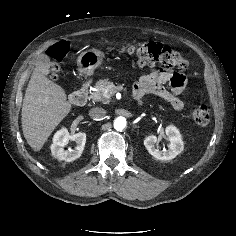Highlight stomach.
Returning a JSON list of instances; mask_svg holds the SVG:
<instances>
[{
    "label": "stomach",
    "instance_id": "obj_1",
    "mask_svg": "<svg viewBox=\"0 0 236 236\" xmlns=\"http://www.w3.org/2000/svg\"><path fill=\"white\" fill-rule=\"evenodd\" d=\"M104 53L97 49H89L82 52L77 58V66L80 73L90 76L103 62Z\"/></svg>",
    "mask_w": 236,
    "mask_h": 236
}]
</instances>
